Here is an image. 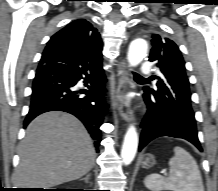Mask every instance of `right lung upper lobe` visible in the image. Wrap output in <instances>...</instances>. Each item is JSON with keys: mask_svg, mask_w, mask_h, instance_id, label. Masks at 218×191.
I'll use <instances>...</instances> for the list:
<instances>
[{"mask_svg": "<svg viewBox=\"0 0 218 191\" xmlns=\"http://www.w3.org/2000/svg\"><path fill=\"white\" fill-rule=\"evenodd\" d=\"M47 46H57L85 54L102 50L100 34L85 19H78L54 34Z\"/></svg>", "mask_w": 218, "mask_h": 191, "instance_id": "1", "label": "right lung upper lobe"}]
</instances>
